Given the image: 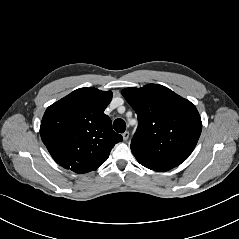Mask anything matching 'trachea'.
<instances>
[{
  "mask_svg": "<svg viewBox=\"0 0 239 239\" xmlns=\"http://www.w3.org/2000/svg\"><path fill=\"white\" fill-rule=\"evenodd\" d=\"M113 128L118 133H124L126 130V123L123 119L118 118L114 121Z\"/></svg>",
  "mask_w": 239,
  "mask_h": 239,
  "instance_id": "1",
  "label": "trachea"
}]
</instances>
